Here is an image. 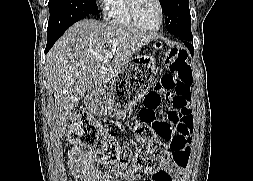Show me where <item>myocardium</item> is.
Instances as JSON below:
<instances>
[{
    "mask_svg": "<svg viewBox=\"0 0 253 181\" xmlns=\"http://www.w3.org/2000/svg\"><path fill=\"white\" fill-rule=\"evenodd\" d=\"M156 2L160 10V21L157 27L149 28V27L144 26L138 18V15H137L138 0H128V13L132 22L137 28L144 31H148V32H156L162 28L164 24V19H165V8H164V4L162 0H156Z\"/></svg>",
    "mask_w": 253,
    "mask_h": 181,
    "instance_id": "f54148a6",
    "label": "myocardium"
}]
</instances>
